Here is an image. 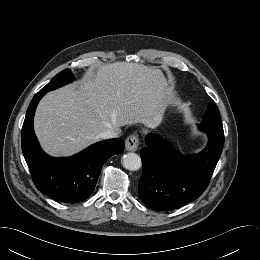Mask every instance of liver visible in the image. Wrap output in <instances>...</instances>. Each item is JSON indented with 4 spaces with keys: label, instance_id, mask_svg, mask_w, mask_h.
<instances>
[{
    "label": "liver",
    "instance_id": "liver-1",
    "mask_svg": "<svg viewBox=\"0 0 260 260\" xmlns=\"http://www.w3.org/2000/svg\"><path fill=\"white\" fill-rule=\"evenodd\" d=\"M169 100L161 70L115 62L88 73L78 84L47 93L40 101L34 130L51 156H71L97 142L107 129L142 123L157 127Z\"/></svg>",
    "mask_w": 260,
    "mask_h": 260
}]
</instances>
